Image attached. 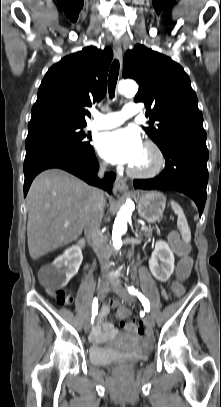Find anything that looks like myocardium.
<instances>
[{
    "label": "myocardium",
    "mask_w": 221,
    "mask_h": 407,
    "mask_svg": "<svg viewBox=\"0 0 221 407\" xmlns=\"http://www.w3.org/2000/svg\"><path fill=\"white\" fill-rule=\"evenodd\" d=\"M145 147L149 148L155 155L156 158V163L153 168L146 170V171H140L136 170L133 167L128 168V173L136 178H141V179H150L158 176L165 168L166 164V159L165 155L162 151V149L153 141H145L144 145Z\"/></svg>",
    "instance_id": "obj_1"
}]
</instances>
